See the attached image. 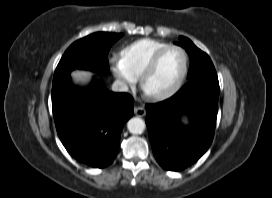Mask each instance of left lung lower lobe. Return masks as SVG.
<instances>
[{
    "mask_svg": "<svg viewBox=\"0 0 272 198\" xmlns=\"http://www.w3.org/2000/svg\"><path fill=\"white\" fill-rule=\"evenodd\" d=\"M217 74L190 79L171 98L146 105V125L154 156L166 170L180 171L195 163L213 140L218 112ZM183 114L191 125L180 123Z\"/></svg>",
    "mask_w": 272,
    "mask_h": 198,
    "instance_id": "1",
    "label": "left lung lower lobe"
}]
</instances>
